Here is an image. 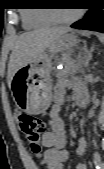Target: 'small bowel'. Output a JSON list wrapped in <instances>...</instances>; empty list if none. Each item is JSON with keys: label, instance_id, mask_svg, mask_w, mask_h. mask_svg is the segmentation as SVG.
<instances>
[{"label": "small bowel", "instance_id": "obj_1", "mask_svg": "<svg viewBox=\"0 0 104 169\" xmlns=\"http://www.w3.org/2000/svg\"><path fill=\"white\" fill-rule=\"evenodd\" d=\"M64 83L59 84L55 89L54 104L50 109L48 124L50 130L47 131L41 140V144L46 148L41 165L44 169H63V164L69 159V152L65 150L66 136L65 123L60 116L62 103L65 94ZM74 98L87 96V92L80 85H74ZM87 142L81 138L78 142L76 153L82 157L85 154ZM76 169H88L87 165L80 163Z\"/></svg>", "mask_w": 104, "mask_h": 169}]
</instances>
